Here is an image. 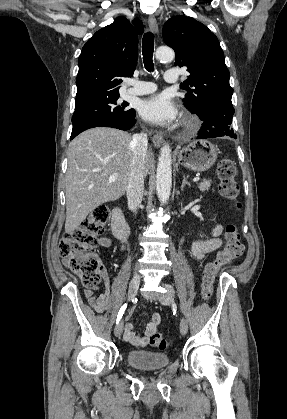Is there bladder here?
Returning a JSON list of instances; mask_svg holds the SVG:
<instances>
[{
	"label": "bladder",
	"instance_id": "bladder-1",
	"mask_svg": "<svg viewBox=\"0 0 287 419\" xmlns=\"http://www.w3.org/2000/svg\"><path fill=\"white\" fill-rule=\"evenodd\" d=\"M126 361L134 368L144 370L162 369L168 365V355L147 350H131L126 354Z\"/></svg>",
	"mask_w": 287,
	"mask_h": 419
}]
</instances>
